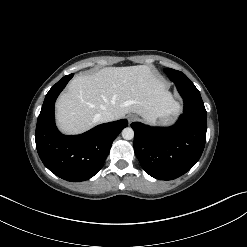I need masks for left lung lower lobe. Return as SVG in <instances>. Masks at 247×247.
Returning a JSON list of instances; mask_svg holds the SVG:
<instances>
[{"label": "left lung lower lobe", "instance_id": "left-lung-lower-lobe-1", "mask_svg": "<svg viewBox=\"0 0 247 247\" xmlns=\"http://www.w3.org/2000/svg\"><path fill=\"white\" fill-rule=\"evenodd\" d=\"M184 112L175 125L150 127L134 122V151L152 177L172 180L189 171L199 160L206 141L207 112L192 82H176Z\"/></svg>", "mask_w": 247, "mask_h": 247}]
</instances>
